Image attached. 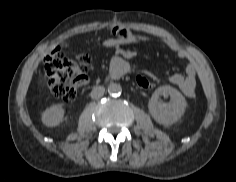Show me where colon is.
<instances>
[{"mask_svg":"<svg viewBox=\"0 0 236 182\" xmlns=\"http://www.w3.org/2000/svg\"><path fill=\"white\" fill-rule=\"evenodd\" d=\"M92 59L89 54H81L76 58H67L60 49H55L45 60V73L48 77L50 92L64 102L75 98L78 88L87 80ZM141 89L153 88V82L144 75L136 77Z\"/></svg>","mask_w":236,"mask_h":182,"instance_id":"1","label":"colon"}]
</instances>
